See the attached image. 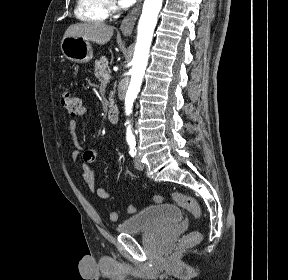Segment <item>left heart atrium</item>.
I'll return each instance as SVG.
<instances>
[{"instance_id": "39dd6f15", "label": "left heart atrium", "mask_w": 288, "mask_h": 280, "mask_svg": "<svg viewBox=\"0 0 288 280\" xmlns=\"http://www.w3.org/2000/svg\"><path fill=\"white\" fill-rule=\"evenodd\" d=\"M135 0H119V4L123 7H128L133 4Z\"/></svg>"}]
</instances>
